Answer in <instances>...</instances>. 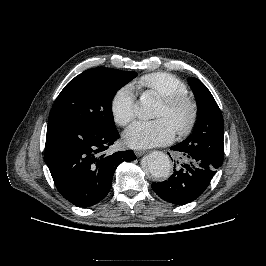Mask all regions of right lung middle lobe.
Returning a JSON list of instances; mask_svg holds the SVG:
<instances>
[{
	"mask_svg": "<svg viewBox=\"0 0 266 266\" xmlns=\"http://www.w3.org/2000/svg\"><path fill=\"white\" fill-rule=\"evenodd\" d=\"M136 76V72L111 68H93L82 72L61 91L49 120L62 119L100 129H114L112 99L121 87Z\"/></svg>",
	"mask_w": 266,
	"mask_h": 266,
	"instance_id": "1",
	"label": "right lung middle lobe"
}]
</instances>
